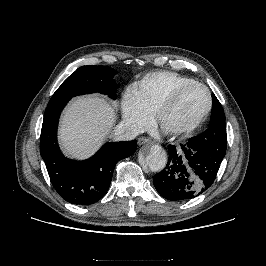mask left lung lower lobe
I'll return each mask as SVG.
<instances>
[{
    "label": "left lung lower lobe",
    "mask_w": 266,
    "mask_h": 266,
    "mask_svg": "<svg viewBox=\"0 0 266 266\" xmlns=\"http://www.w3.org/2000/svg\"><path fill=\"white\" fill-rule=\"evenodd\" d=\"M168 153L166 167L153 177L154 186L168 200L186 201L212 185L226 149L220 147L212 154L189 139L179 147L168 145Z\"/></svg>",
    "instance_id": "left-lung-lower-lobe-1"
}]
</instances>
